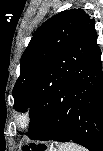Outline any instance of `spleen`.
I'll use <instances>...</instances> for the list:
<instances>
[{
  "instance_id": "3e777b00",
  "label": "spleen",
  "mask_w": 103,
  "mask_h": 151,
  "mask_svg": "<svg viewBox=\"0 0 103 151\" xmlns=\"http://www.w3.org/2000/svg\"><path fill=\"white\" fill-rule=\"evenodd\" d=\"M59 151H88L86 148L72 142L64 143L59 146Z\"/></svg>"
}]
</instances>
